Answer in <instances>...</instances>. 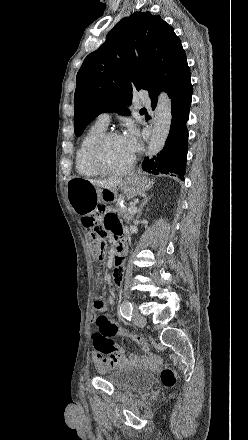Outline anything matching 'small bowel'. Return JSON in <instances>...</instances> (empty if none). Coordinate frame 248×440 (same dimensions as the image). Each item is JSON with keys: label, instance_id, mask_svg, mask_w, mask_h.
Masks as SVG:
<instances>
[{"label": "small bowel", "instance_id": "small-bowel-1", "mask_svg": "<svg viewBox=\"0 0 248 440\" xmlns=\"http://www.w3.org/2000/svg\"><path fill=\"white\" fill-rule=\"evenodd\" d=\"M103 225L105 229H107L117 241H122V226L120 221L118 220L117 216L112 212H105L102 218ZM114 269H113V277L114 282L118 285L116 287V290L118 292H121L123 290V287L119 285L122 281L123 277V266L125 265V258L124 257H115L114 258ZM114 282L112 280H109L107 282V285L109 287H112L114 285ZM115 298V291L113 289H110L107 293V299L104 300H97L93 305V313L94 315L104 312L114 301ZM152 360L151 356L148 357H137L132 356L130 359L126 360V363H132V364H138V363H145ZM94 364L96 366V369L100 372L106 370L107 366L109 364L107 361L102 359L99 355V353H95L94 355Z\"/></svg>", "mask_w": 248, "mask_h": 440}]
</instances>
